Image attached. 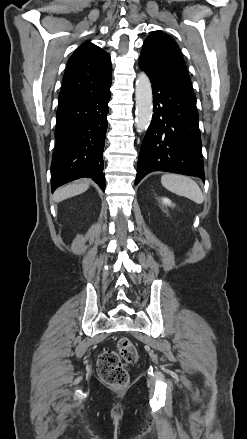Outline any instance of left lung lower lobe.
I'll return each mask as SVG.
<instances>
[{
	"label": "left lung lower lobe",
	"instance_id": "obj_1",
	"mask_svg": "<svg viewBox=\"0 0 247 439\" xmlns=\"http://www.w3.org/2000/svg\"><path fill=\"white\" fill-rule=\"evenodd\" d=\"M147 75L152 84L154 114L141 146L135 185L152 171L205 180L196 98Z\"/></svg>",
	"mask_w": 247,
	"mask_h": 439
}]
</instances>
